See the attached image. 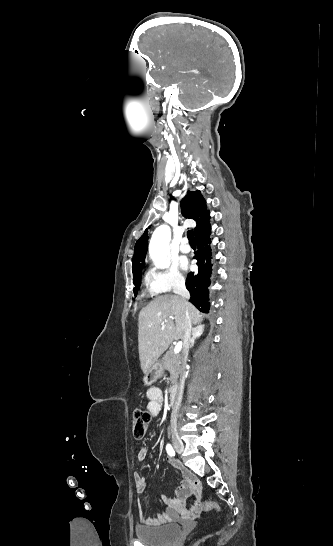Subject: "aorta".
Masks as SVG:
<instances>
[{"label": "aorta", "instance_id": "aorta-1", "mask_svg": "<svg viewBox=\"0 0 333 546\" xmlns=\"http://www.w3.org/2000/svg\"><path fill=\"white\" fill-rule=\"evenodd\" d=\"M171 230L168 225L159 226L153 233L149 244V255L158 268H167L170 264L168 258Z\"/></svg>", "mask_w": 333, "mask_h": 546}]
</instances>
